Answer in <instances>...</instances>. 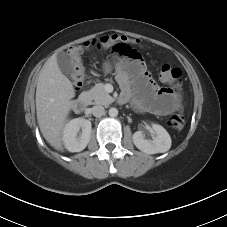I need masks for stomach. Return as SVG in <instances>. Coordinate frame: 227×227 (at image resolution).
Returning a JSON list of instances; mask_svg holds the SVG:
<instances>
[{
    "label": "stomach",
    "mask_w": 227,
    "mask_h": 227,
    "mask_svg": "<svg viewBox=\"0 0 227 227\" xmlns=\"http://www.w3.org/2000/svg\"><path fill=\"white\" fill-rule=\"evenodd\" d=\"M103 69H104L105 73H110L113 69V66L110 62H105L103 65Z\"/></svg>",
    "instance_id": "0dacf381"
}]
</instances>
